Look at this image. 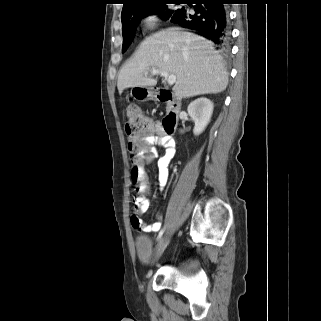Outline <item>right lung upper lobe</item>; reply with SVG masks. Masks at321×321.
<instances>
[{
  "label": "right lung upper lobe",
  "instance_id": "1",
  "mask_svg": "<svg viewBox=\"0 0 321 321\" xmlns=\"http://www.w3.org/2000/svg\"><path fill=\"white\" fill-rule=\"evenodd\" d=\"M124 5L121 17L140 11L141 9L164 0H123Z\"/></svg>",
  "mask_w": 321,
  "mask_h": 321
}]
</instances>
